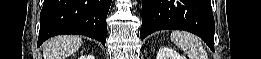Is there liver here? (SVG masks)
Here are the masks:
<instances>
[{
    "mask_svg": "<svg viewBox=\"0 0 261 59\" xmlns=\"http://www.w3.org/2000/svg\"><path fill=\"white\" fill-rule=\"evenodd\" d=\"M82 45L78 36H57L44 43V59H65Z\"/></svg>",
    "mask_w": 261,
    "mask_h": 59,
    "instance_id": "6515ba94",
    "label": "liver"
}]
</instances>
